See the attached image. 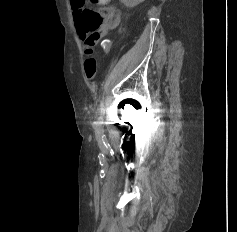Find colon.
<instances>
[{"instance_id": "obj_1", "label": "colon", "mask_w": 237, "mask_h": 232, "mask_svg": "<svg viewBox=\"0 0 237 232\" xmlns=\"http://www.w3.org/2000/svg\"><path fill=\"white\" fill-rule=\"evenodd\" d=\"M95 3L107 4L110 0H91ZM71 5L74 11V17L77 29L82 39L87 43L94 45L101 37V27L103 16L108 17L112 14L110 8H106L104 15L88 8L86 0H71Z\"/></svg>"}]
</instances>
